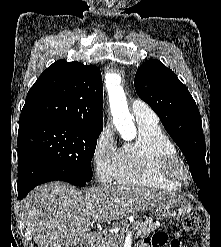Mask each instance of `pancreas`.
I'll return each mask as SVG.
<instances>
[{"mask_svg": "<svg viewBox=\"0 0 221 247\" xmlns=\"http://www.w3.org/2000/svg\"><path fill=\"white\" fill-rule=\"evenodd\" d=\"M133 232H136L137 237H145L150 234L152 230L155 229V224L152 218H147L146 220H140L135 222L130 228ZM125 229L122 230V233ZM124 242L123 235L121 236H108L101 243L99 247H121Z\"/></svg>", "mask_w": 221, "mask_h": 247, "instance_id": "cf45deb5", "label": "pancreas"}]
</instances>
